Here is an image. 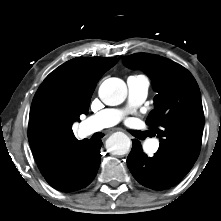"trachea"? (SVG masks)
Returning a JSON list of instances; mask_svg holds the SVG:
<instances>
[{
    "label": "trachea",
    "instance_id": "3493384b",
    "mask_svg": "<svg viewBox=\"0 0 221 221\" xmlns=\"http://www.w3.org/2000/svg\"><path fill=\"white\" fill-rule=\"evenodd\" d=\"M104 135L102 133H95L93 136H92V140H97V139H100L102 138Z\"/></svg>",
    "mask_w": 221,
    "mask_h": 221
}]
</instances>
